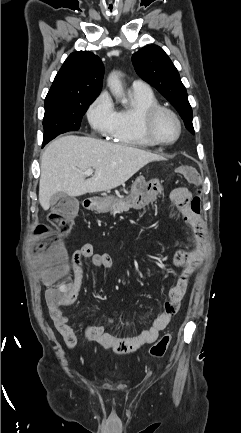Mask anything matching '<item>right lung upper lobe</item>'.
Here are the masks:
<instances>
[{"instance_id": "right-lung-upper-lobe-1", "label": "right lung upper lobe", "mask_w": 241, "mask_h": 433, "mask_svg": "<svg viewBox=\"0 0 241 433\" xmlns=\"http://www.w3.org/2000/svg\"><path fill=\"white\" fill-rule=\"evenodd\" d=\"M103 74L104 66L98 56L89 51L73 52L57 73L45 102L96 99Z\"/></svg>"}]
</instances>
